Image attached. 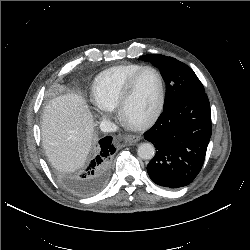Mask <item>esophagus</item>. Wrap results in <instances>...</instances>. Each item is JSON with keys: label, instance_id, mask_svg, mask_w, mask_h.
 Segmentation results:
<instances>
[{"label": "esophagus", "instance_id": "1", "mask_svg": "<svg viewBox=\"0 0 250 250\" xmlns=\"http://www.w3.org/2000/svg\"><path fill=\"white\" fill-rule=\"evenodd\" d=\"M140 139H141V137L138 135H127L125 137V141L131 145L138 142Z\"/></svg>", "mask_w": 250, "mask_h": 250}]
</instances>
